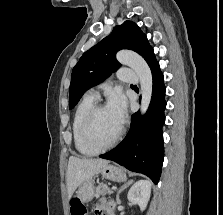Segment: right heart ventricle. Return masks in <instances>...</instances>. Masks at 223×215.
Returning <instances> with one entry per match:
<instances>
[{
  "instance_id": "1",
  "label": "right heart ventricle",
  "mask_w": 223,
  "mask_h": 215,
  "mask_svg": "<svg viewBox=\"0 0 223 215\" xmlns=\"http://www.w3.org/2000/svg\"><path fill=\"white\" fill-rule=\"evenodd\" d=\"M95 105V100L87 96L79 103L72 121V136L75 149L82 155L94 156V151L88 147L83 138V126L90 110Z\"/></svg>"
}]
</instances>
